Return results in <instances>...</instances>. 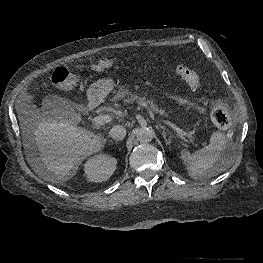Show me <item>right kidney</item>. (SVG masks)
<instances>
[{"instance_id": "right-kidney-1", "label": "right kidney", "mask_w": 263, "mask_h": 263, "mask_svg": "<svg viewBox=\"0 0 263 263\" xmlns=\"http://www.w3.org/2000/svg\"><path fill=\"white\" fill-rule=\"evenodd\" d=\"M117 160L107 154H99L89 159L84 171L92 182H103L109 179L116 169Z\"/></svg>"}]
</instances>
